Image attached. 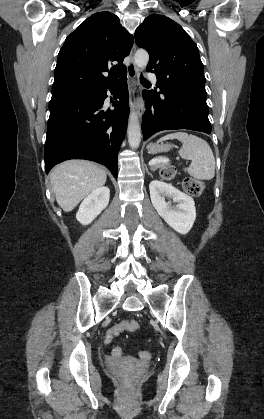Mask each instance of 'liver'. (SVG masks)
<instances>
[{"label": "liver", "mask_w": 264, "mask_h": 419, "mask_svg": "<svg viewBox=\"0 0 264 419\" xmlns=\"http://www.w3.org/2000/svg\"><path fill=\"white\" fill-rule=\"evenodd\" d=\"M106 172L87 160H68L50 173L56 201L65 211H72L93 190L106 182Z\"/></svg>", "instance_id": "1"}]
</instances>
